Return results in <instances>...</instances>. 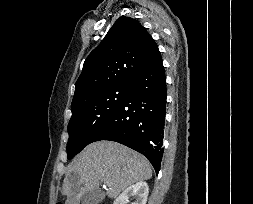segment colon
Listing matches in <instances>:
<instances>
[{"instance_id": "colon-1", "label": "colon", "mask_w": 253, "mask_h": 204, "mask_svg": "<svg viewBox=\"0 0 253 204\" xmlns=\"http://www.w3.org/2000/svg\"><path fill=\"white\" fill-rule=\"evenodd\" d=\"M57 204H63L62 202H58Z\"/></svg>"}]
</instances>
